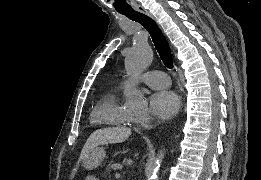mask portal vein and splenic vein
Segmentation results:
<instances>
[{
	"label": "portal vein and splenic vein",
	"instance_id": "portal-vein-and-splenic-vein-1",
	"mask_svg": "<svg viewBox=\"0 0 261 180\" xmlns=\"http://www.w3.org/2000/svg\"><path fill=\"white\" fill-rule=\"evenodd\" d=\"M121 176H122V173H118V174H115V175H114V178H115V179H120Z\"/></svg>",
	"mask_w": 261,
	"mask_h": 180
}]
</instances>
